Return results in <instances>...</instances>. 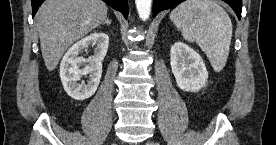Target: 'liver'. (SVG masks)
<instances>
[{
  "label": "liver",
  "instance_id": "6515ba94",
  "mask_svg": "<svg viewBox=\"0 0 276 145\" xmlns=\"http://www.w3.org/2000/svg\"><path fill=\"white\" fill-rule=\"evenodd\" d=\"M101 0H46L36 14L42 57L53 71L64 52L107 19Z\"/></svg>",
  "mask_w": 276,
  "mask_h": 145
}]
</instances>
